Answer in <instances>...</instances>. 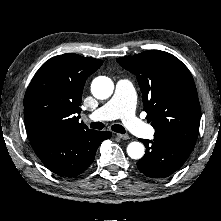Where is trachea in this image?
Here are the masks:
<instances>
[{
	"mask_svg": "<svg viewBox=\"0 0 221 221\" xmlns=\"http://www.w3.org/2000/svg\"><path fill=\"white\" fill-rule=\"evenodd\" d=\"M90 128L100 130V129H103V128H104V124L101 123V122H92V123L90 124ZM111 129H112L113 131L117 132V133H125V132H126L125 128H124L123 126H121V125H118V124L113 125V126L111 127Z\"/></svg>",
	"mask_w": 221,
	"mask_h": 221,
	"instance_id": "obj_1",
	"label": "trachea"
}]
</instances>
